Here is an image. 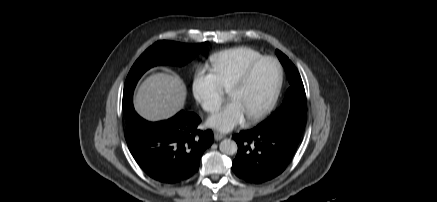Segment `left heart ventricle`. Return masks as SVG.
I'll return each instance as SVG.
<instances>
[{"label":"left heart ventricle","instance_id":"left-heart-ventricle-1","mask_svg":"<svg viewBox=\"0 0 437 202\" xmlns=\"http://www.w3.org/2000/svg\"><path fill=\"white\" fill-rule=\"evenodd\" d=\"M277 77L276 64L272 61L262 62L256 67L247 84L230 95V100L237 101L248 118L267 104L273 93Z\"/></svg>","mask_w":437,"mask_h":202}]
</instances>
